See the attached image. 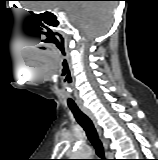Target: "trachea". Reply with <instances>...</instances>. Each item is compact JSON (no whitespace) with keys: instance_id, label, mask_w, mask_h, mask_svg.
I'll use <instances>...</instances> for the list:
<instances>
[{"instance_id":"1","label":"trachea","mask_w":158,"mask_h":160,"mask_svg":"<svg viewBox=\"0 0 158 160\" xmlns=\"http://www.w3.org/2000/svg\"><path fill=\"white\" fill-rule=\"evenodd\" d=\"M72 113L74 114L77 122L83 127V129L86 132V135L89 139V141L92 143V145L95 148L96 154L101 158L97 160H106L104 158V149L103 145L98 137L97 131L94 127L93 122L91 119L84 114L77 105H68Z\"/></svg>"}]
</instances>
